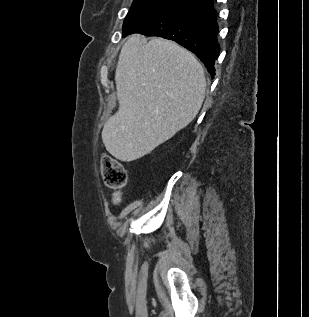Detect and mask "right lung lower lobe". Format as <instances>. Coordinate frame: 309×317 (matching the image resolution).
Returning <instances> with one entry per match:
<instances>
[{
	"label": "right lung lower lobe",
	"instance_id": "98d812e1",
	"mask_svg": "<svg viewBox=\"0 0 309 317\" xmlns=\"http://www.w3.org/2000/svg\"><path fill=\"white\" fill-rule=\"evenodd\" d=\"M216 15L213 0H178L139 18L123 37L141 33L173 40L196 54L214 78L220 52Z\"/></svg>",
	"mask_w": 309,
	"mask_h": 317
}]
</instances>
